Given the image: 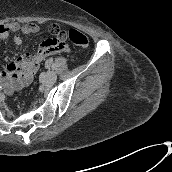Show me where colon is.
Returning <instances> with one entry per match:
<instances>
[{"label": "colon", "instance_id": "1", "mask_svg": "<svg viewBox=\"0 0 172 172\" xmlns=\"http://www.w3.org/2000/svg\"><path fill=\"white\" fill-rule=\"evenodd\" d=\"M50 31L55 35V42H64V33H62L59 28H50ZM67 36L69 40L77 46L86 47L88 45L87 37L77 30H70Z\"/></svg>", "mask_w": 172, "mask_h": 172}]
</instances>
